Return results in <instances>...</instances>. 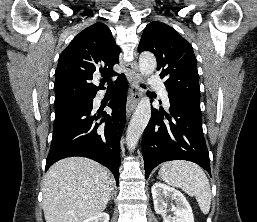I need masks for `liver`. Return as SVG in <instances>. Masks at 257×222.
Here are the masks:
<instances>
[{"label": "liver", "mask_w": 257, "mask_h": 222, "mask_svg": "<svg viewBox=\"0 0 257 222\" xmlns=\"http://www.w3.org/2000/svg\"><path fill=\"white\" fill-rule=\"evenodd\" d=\"M113 182L110 172L91 159L69 157L56 162L44 177L46 222H83L101 213Z\"/></svg>", "instance_id": "obj_1"}]
</instances>
